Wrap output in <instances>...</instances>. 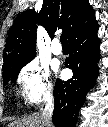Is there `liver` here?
I'll use <instances>...</instances> for the list:
<instances>
[{"instance_id": "liver-1", "label": "liver", "mask_w": 108, "mask_h": 127, "mask_svg": "<svg viewBox=\"0 0 108 127\" xmlns=\"http://www.w3.org/2000/svg\"><path fill=\"white\" fill-rule=\"evenodd\" d=\"M41 113H33L10 123L7 127H46Z\"/></svg>"}]
</instances>
